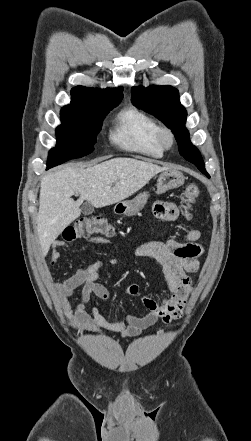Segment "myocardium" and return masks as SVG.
<instances>
[{
	"label": "myocardium",
	"mask_w": 251,
	"mask_h": 441,
	"mask_svg": "<svg viewBox=\"0 0 251 441\" xmlns=\"http://www.w3.org/2000/svg\"><path fill=\"white\" fill-rule=\"evenodd\" d=\"M156 140L163 150H168L175 144L174 132L166 125H159L156 132Z\"/></svg>",
	"instance_id": "obj_1"
}]
</instances>
